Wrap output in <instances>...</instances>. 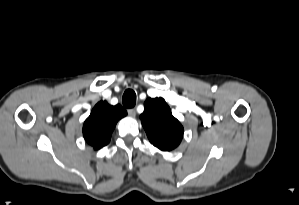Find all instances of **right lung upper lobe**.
I'll use <instances>...</instances> for the list:
<instances>
[{"label": "right lung upper lobe", "mask_w": 299, "mask_h": 205, "mask_svg": "<svg viewBox=\"0 0 299 205\" xmlns=\"http://www.w3.org/2000/svg\"><path fill=\"white\" fill-rule=\"evenodd\" d=\"M127 114L120 105L111 106L100 101L83 125V136L95 150L107 145L117 121Z\"/></svg>", "instance_id": "cb5924a9"}]
</instances>
